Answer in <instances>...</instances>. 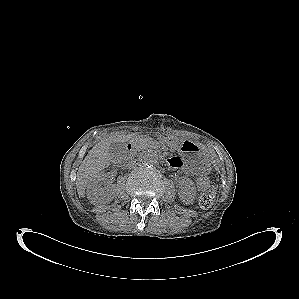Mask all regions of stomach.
Masks as SVG:
<instances>
[{
  "label": "stomach",
  "mask_w": 299,
  "mask_h": 299,
  "mask_svg": "<svg viewBox=\"0 0 299 299\" xmlns=\"http://www.w3.org/2000/svg\"><path fill=\"white\" fill-rule=\"evenodd\" d=\"M164 142L178 149L186 158L189 167L196 172H204L210 163V155L197 143L189 140H178L167 137Z\"/></svg>",
  "instance_id": "obj_1"
}]
</instances>
